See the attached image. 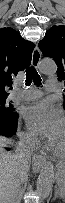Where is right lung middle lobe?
Wrapping results in <instances>:
<instances>
[{
	"mask_svg": "<svg viewBox=\"0 0 65 203\" xmlns=\"http://www.w3.org/2000/svg\"><path fill=\"white\" fill-rule=\"evenodd\" d=\"M6 97L0 98V119H16L18 117L15 109L10 105H5Z\"/></svg>",
	"mask_w": 65,
	"mask_h": 203,
	"instance_id": "1",
	"label": "right lung middle lobe"
}]
</instances>
